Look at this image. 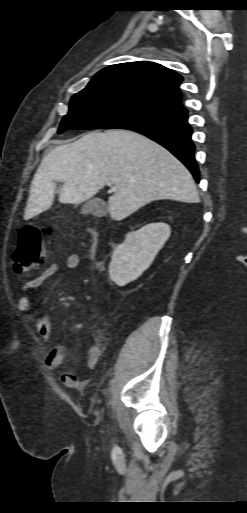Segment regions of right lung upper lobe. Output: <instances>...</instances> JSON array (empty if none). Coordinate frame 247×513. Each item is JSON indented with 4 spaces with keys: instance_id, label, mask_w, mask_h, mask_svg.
<instances>
[{
    "instance_id": "1",
    "label": "right lung upper lobe",
    "mask_w": 247,
    "mask_h": 513,
    "mask_svg": "<svg viewBox=\"0 0 247 513\" xmlns=\"http://www.w3.org/2000/svg\"><path fill=\"white\" fill-rule=\"evenodd\" d=\"M183 78L154 62H128L99 71L82 91L94 88H116L134 92L170 108L182 109L179 85Z\"/></svg>"
}]
</instances>
